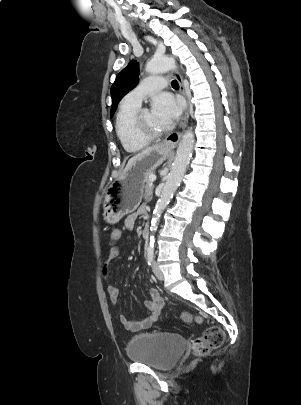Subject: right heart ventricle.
Returning a JSON list of instances; mask_svg holds the SVG:
<instances>
[{
    "mask_svg": "<svg viewBox=\"0 0 301 405\" xmlns=\"http://www.w3.org/2000/svg\"><path fill=\"white\" fill-rule=\"evenodd\" d=\"M138 110V106L122 103L115 119L117 137L124 149L129 153H136L149 143V141L136 136L132 129L133 117Z\"/></svg>",
    "mask_w": 301,
    "mask_h": 405,
    "instance_id": "right-heart-ventricle-1",
    "label": "right heart ventricle"
}]
</instances>
